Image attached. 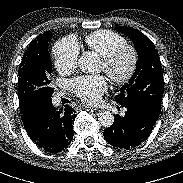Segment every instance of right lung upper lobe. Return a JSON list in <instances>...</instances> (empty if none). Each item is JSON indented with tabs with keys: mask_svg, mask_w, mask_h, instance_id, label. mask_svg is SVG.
<instances>
[{
	"mask_svg": "<svg viewBox=\"0 0 183 183\" xmlns=\"http://www.w3.org/2000/svg\"><path fill=\"white\" fill-rule=\"evenodd\" d=\"M52 35L50 31L44 32L43 34L39 35L36 39H34L29 47L27 48L26 52L23 55V60L27 58V56L32 52L33 49L38 48L41 46L43 40L48 36Z\"/></svg>",
	"mask_w": 183,
	"mask_h": 183,
	"instance_id": "cb5924a9",
	"label": "right lung upper lobe"
}]
</instances>
